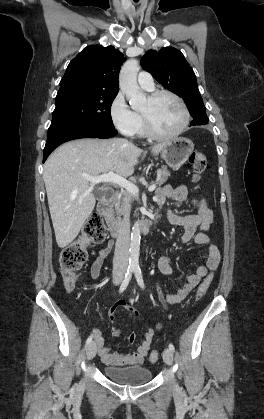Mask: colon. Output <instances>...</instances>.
<instances>
[{"instance_id": "colon-1", "label": "colon", "mask_w": 264, "mask_h": 419, "mask_svg": "<svg viewBox=\"0 0 264 419\" xmlns=\"http://www.w3.org/2000/svg\"><path fill=\"white\" fill-rule=\"evenodd\" d=\"M189 164L194 171V179L199 180L207 167L205 155L200 151H194L189 157ZM205 206L204 201L199 202V208ZM106 227L103 218L99 214H93L85 223L79 239L67 245L60 253V267L66 287L73 290L76 284V272L87 260L86 245L90 243L99 244L105 240ZM212 281V274H209L199 286L197 298H201L208 290ZM159 358L157 351L150 353L151 362Z\"/></svg>"}]
</instances>
